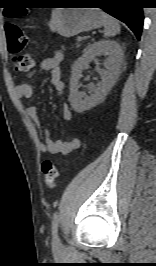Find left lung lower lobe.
<instances>
[{"label": "left lung lower lobe", "instance_id": "1", "mask_svg": "<svg viewBox=\"0 0 156 266\" xmlns=\"http://www.w3.org/2000/svg\"><path fill=\"white\" fill-rule=\"evenodd\" d=\"M82 6L102 8L124 22L140 39L143 27V7L139 0H69Z\"/></svg>", "mask_w": 156, "mask_h": 266}]
</instances>
